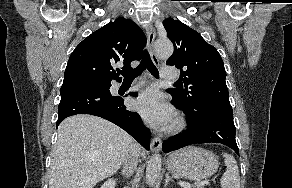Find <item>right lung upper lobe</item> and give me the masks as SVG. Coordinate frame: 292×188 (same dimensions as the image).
I'll use <instances>...</instances> for the list:
<instances>
[{"mask_svg":"<svg viewBox=\"0 0 292 188\" xmlns=\"http://www.w3.org/2000/svg\"><path fill=\"white\" fill-rule=\"evenodd\" d=\"M146 37L130 19L117 18L84 39L71 53L64 81L76 79L121 80L119 68L140 60Z\"/></svg>","mask_w":292,"mask_h":188,"instance_id":"right-lung-upper-lobe-1","label":"right lung upper lobe"}]
</instances>
